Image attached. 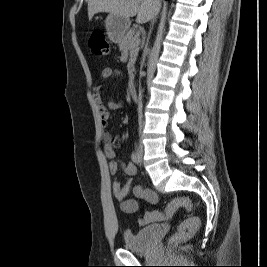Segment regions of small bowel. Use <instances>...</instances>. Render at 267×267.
<instances>
[{"mask_svg": "<svg viewBox=\"0 0 267 267\" xmlns=\"http://www.w3.org/2000/svg\"><path fill=\"white\" fill-rule=\"evenodd\" d=\"M119 75V71L106 67L101 72V79L108 80ZM102 89L100 86L96 87L93 91V98L98 110V114L101 120L103 132V142H104V154L109 160V172L111 174H116L121 165L124 173L128 176H133L137 172L136 166L132 162L119 163L116 159L117 157V146L118 140L114 138L108 131V121H109V110L121 109L123 104L120 100L114 98H109L105 104L102 100ZM132 188L131 182L129 180L121 183L119 181H114L112 184V192L115 198L121 202V209L125 213H136L139 210V202L136 199L128 198V194ZM133 194L139 199H143L150 204H156L158 202L157 194L150 190L143 188L140 185H136L132 188Z\"/></svg>", "mask_w": 267, "mask_h": 267, "instance_id": "1", "label": "small bowel"}]
</instances>
